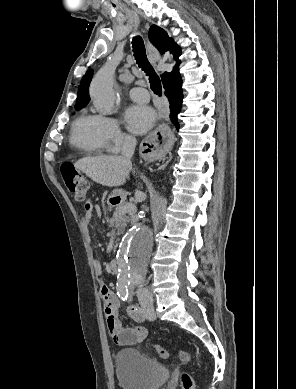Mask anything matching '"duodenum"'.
Here are the masks:
<instances>
[{"instance_id": "duodenum-1", "label": "duodenum", "mask_w": 296, "mask_h": 389, "mask_svg": "<svg viewBox=\"0 0 296 389\" xmlns=\"http://www.w3.org/2000/svg\"><path fill=\"white\" fill-rule=\"evenodd\" d=\"M109 267L112 274H118V262L116 260H112Z\"/></svg>"}]
</instances>
